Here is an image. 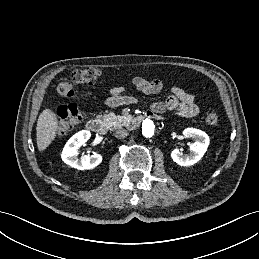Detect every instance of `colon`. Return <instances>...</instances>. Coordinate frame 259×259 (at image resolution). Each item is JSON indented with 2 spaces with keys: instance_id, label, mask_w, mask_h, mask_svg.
<instances>
[{
  "instance_id": "1",
  "label": "colon",
  "mask_w": 259,
  "mask_h": 259,
  "mask_svg": "<svg viewBox=\"0 0 259 259\" xmlns=\"http://www.w3.org/2000/svg\"><path fill=\"white\" fill-rule=\"evenodd\" d=\"M101 71L97 68H82L74 70L69 78L60 80L57 85V92L63 97H71L74 95L73 84L92 85L99 81ZM59 124L57 132L60 135L67 134L82 120L83 112L77 104L71 103L61 106L58 109ZM206 123L215 126L219 122V116L215 112H209L206 115Z\"/></svg>"
}]
</instances>
